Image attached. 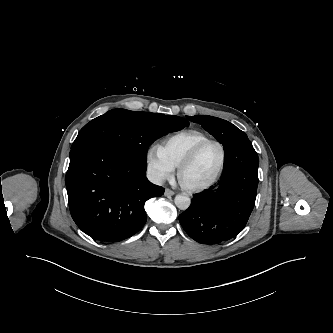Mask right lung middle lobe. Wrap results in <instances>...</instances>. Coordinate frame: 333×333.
<instances>
[{"label": "right lung middle lobe", "instance_id": "obj_1", "mask_svg": "<svg viewBox=\"0 0 333 333\" xmlns=\"http://www.w3.org/2000/svg\"><path fill=\"white\" fill-rule=\"evenodd\" d=\"M187 125L189 122L178 116L114 109L86 124L72 146L95 142L146 164L148 147L157 138Z\"/></svg>", "mask_w": 333, "mask_h": 333}]
</instances>
